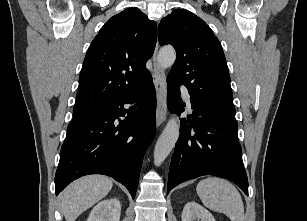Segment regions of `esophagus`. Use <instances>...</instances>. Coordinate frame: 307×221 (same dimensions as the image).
Instances as JSON below:
<instances>
[{
    "instance_id": "34e87169",
    "label": "esophagus",
    "mask_w": 307,
    "mask_h": 221,
    "mask_svg": "<svg viewBox=\"0 0 307 221\" xmlns=\"http://www.w3.org/2000/svg\"><path fill=\"white\" fill-rule=\"evenodd\" d=\"M158 41L156 44V48L152 57L153 60V83L156 89V98H157V106H156V124L160 126L166 119L167 107H166V76L164 70L159 66L158 60Z\"/></svg>"
}]
</instances>
